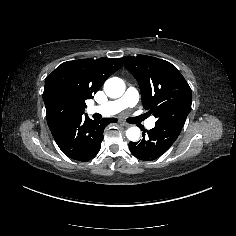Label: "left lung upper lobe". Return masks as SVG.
<instances>
[{
	"label": "left lung upper lobe",
	"instance_id": "left-lung-upper-lobe-1",
	"mask_svg": "<svg viewBox=\"0 0 236 236\" xmlns=\"http://www.w3.org/2000/svg\"><path fill=\"white\" fill-rule=\"evenodd\" d=\"M126 68L139 83L145 109L158 119L156 123L183 127L191 110V88L171 63L138 55L122 58Z\"/></svg>",
	"mask_w": 236,
	"mask_h": 236
}]
</instances>
